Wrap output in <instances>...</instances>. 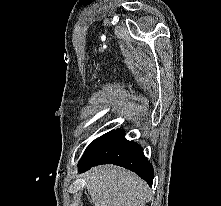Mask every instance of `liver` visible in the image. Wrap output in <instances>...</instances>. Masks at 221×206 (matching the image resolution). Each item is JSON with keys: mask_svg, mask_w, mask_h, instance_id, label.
<instances>
[{"mask_svg": "<svg viewBox=\"0 0 221 206\" xmlns=\"http://www.w3.org/2000/svg\"><path fill=\"white\" fill-rule=\"evenodd\" d=\"M86 187L95 206H145L148 186L135 173L100 165L86 174Z\"/></svg>", "mask_w": 221, "mask_h": 206, "instance_id": "liver-1", "label": "liver"}]
</instances>
